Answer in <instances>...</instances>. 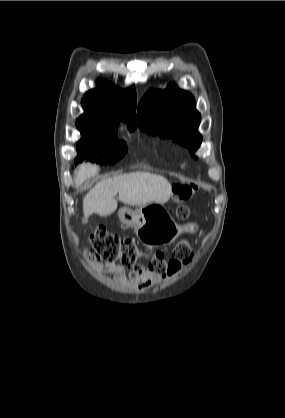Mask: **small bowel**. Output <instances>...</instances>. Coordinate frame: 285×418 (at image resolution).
<instances>
[{"mask_svg":"<svg viewBox=\"0 0 285 418\" xmlns=\"http://www.w3.org/2000/svg\"><path fill=\"white\" fill-rule=\"evenodd\" d=\"M90 266L96 273H110L115 281H127L139 288H147L151 283L162 281L160 276L150 272L143 265H136L128 273L118 263L101 264L92 262Z\"/></svg>","mask_w":285,"mask_h":418,"instance_id":"small-bowel-1","label":"small bowel"}]
</instances>
